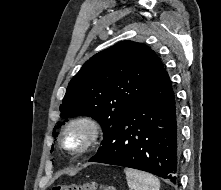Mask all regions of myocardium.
<instances>
[{"label": "myocardium", "mask_w": 221, "mask_h": 190, "mask_svg": "<svg viewBox=\"0 0 221 190\" xmlns=\"http://www.w3.org/2000/svg\"><path fill=\"white\" fill-rule=\"evenodd\" d=\"M73 128H81L85 133L83 142L77 147L69 146L66 142V135ZM99 133L100 125L95 118L89 115H77L68 120L62 128L60 133V144L65 150L71 153H85L93 147Z\"/></svg>", "instance_id": "obj_1"}]
</instances>
